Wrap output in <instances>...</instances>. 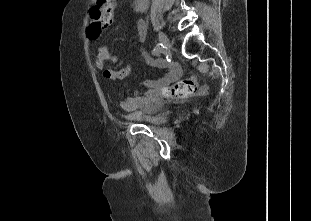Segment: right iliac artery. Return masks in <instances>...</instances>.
<instances>
[{
    "mask_svg": "<svg viewBox=\"0 0 311 221\" xmlns=\"http://www.w3.org/2000/svg\"><path fill=\"white\" fill-rule=\"evenodd\" d=\"M162 50H163V45H162L161 43H159V44H157V45L154 47V49H153V51H152V54H153V55H159V54L162 52Z\"/></svg>",
    "mask_w": 311,
    "mask_h": 221,
    "instance_id": "right-iliac-artery-1",
    "label": "right iliac artery"
}]
</instances>
